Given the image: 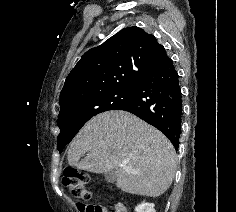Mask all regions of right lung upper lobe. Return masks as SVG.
Here are the masks:
<instances>
[{
  "instance_id": "right-lung-upper-lobe-1",
  "label": "right lung upper lobe",
  "mask_w": 236,
  "mask_h": 212,
  "mask_svg": "<svg viewBox=\"0 0 236 212\" xmlns=\"http://www.w3.org/2000/svg\"><path fill=\"white\" fill-rule=\"evenodd\" d=\"M165 54L153 35L124 28L83 55L66 78L59 104L62 108L93 94L137 86Z\"/></svg>"
}]
</instances>
